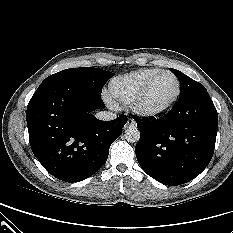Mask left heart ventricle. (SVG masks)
<instances>
[{
    "label": "left heart ventricle",
    "instance_id": "1",
    "mask_svg": "<svg viewBox=\"0 0 233 233\" xmlns=\"http://www.w3.org/2000/svg\"><path fill=\"white\" fill-rule=\"evenodd\" d=\"M175 91V79L169 74L160 75L151 84L143 99V105L148 108L161 107L173 97Z\"/></svg>",
    "mask_w": 233,
    "mask_h": 233
}]
</instances>
